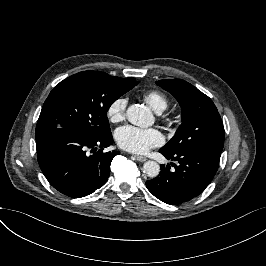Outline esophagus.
I'll return each mask as SVG.
<instances>
[{
    "label": "esophagus",
    "instance_id": "obj_1",
    "mask_svg": "<svg viewBox=\"0 0 266 266\" xmlns=\"http://www.w3.org/2000/svg\"><path fill=\"white\" fill-rule=\"evenodd\" d=\"M134 158L137 160V161H140V162H144L147 160L146 157L144 156H140V155H134Z\"/></svg>",
    "mask_w": 266,
    "mask_h": 266
}]
</instances>
